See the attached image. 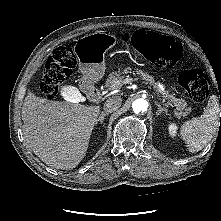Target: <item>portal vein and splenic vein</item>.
<instances>
[{
    "mask_svg": "<svg viewBox=\"0 0 221 221\" xmlns=\"http://www.w3.org/2000/svg\"><path fill=\"white\" fill-rule=\"evenodd\" d=\"M133 81H135V80H133L132 78H127V79L125 80L124 84H126V83H131V82H133ZM156 93H157V91H156ZM159 99L162 100V99L160 98V96H159ZM70 102H76V101H75V100H74V101L71 100Z\"/></svg>",
    "mask_w": 221,
    "mask_h": 221,
    "instance_id": "obj_1",
    "label": "portal vein and splenic vein"
}]
</instances>
